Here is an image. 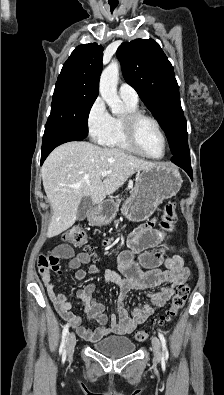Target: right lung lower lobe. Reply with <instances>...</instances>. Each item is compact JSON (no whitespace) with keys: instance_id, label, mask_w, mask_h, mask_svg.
Wrapping results in <instances>:
<instances>
[{"instance_id":"obj_1","label":"right lung lower lobe","mask_w":224,"mask_h":395,"mask_svg":"<svg viewBox=\"0 0 224 395\" xmlns=\"http://www.w3.org/2000/svg\"><path fill=\"white\" fill-rule=\"evenodd\" d=\"M85 137L79 136L64 126H45L43 135L41 165L49 153L57 146L69 141H81Z\"/></svg>"}]
</instances>
